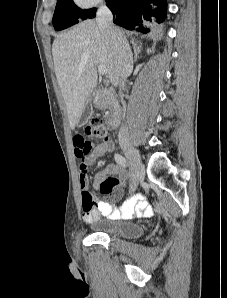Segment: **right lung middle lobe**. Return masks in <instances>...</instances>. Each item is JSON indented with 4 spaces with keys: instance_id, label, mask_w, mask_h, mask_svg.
I'll use <instances>...</instances> for the list:
<instances>
[{
    "instance_id": "obj_1",
    "label": "right lung middle lobe",
    "mask_w": 227,
    "mask_h": 298,
    "mask_svg": "<svg viewBox=\"0 0 227 298\" xmlns=\"http://www.w3.org/2000/svg\"><path fill=\"white\" fill-rule=\"evenodd\" d=\"M96 11L95 8L82 10L77 7L73 0H57L53 16V26L56 30H62L79 22L80 19H87L90 14Z\"/></svg>"
}]
</instances>
